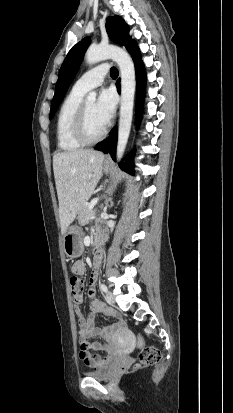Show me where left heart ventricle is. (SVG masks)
Wrapping results in <instances>:
<instances>
[{"label":"left heart ventricle","instance_id":"b2bd125f","mask_svg":"<svg viewBox=\"0 0 233 413\" xmlns=\"http://www.w3.org/2000/svg\"><path fill=\"white\" fill-rule=\"evenodd\" d=\"M87 127L91 136H97L104 129L105 125L99 120L96 113V103L90 101L86 103Z\"/></svg>","mask_w":233,"mask_h":413}]
</instances>
